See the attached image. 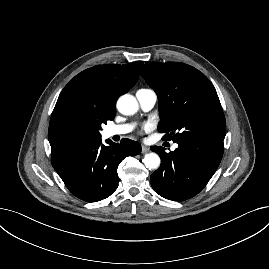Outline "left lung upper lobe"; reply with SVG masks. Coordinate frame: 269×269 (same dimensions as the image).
<instances>
[{"label":"left lung upper lobe","instance_id":"left-lung-upper-lobe-1","mask_svg":"<svg viewBox=\"0 0 269 269\" xmlns=\"http://www.w3.org/2000/svg\"><path fill=\"white\" fill-rule=\"evenodd\" d=\"M141 76L156 92L164 138L224 140L226 122L210 80L196 68L178 62H147Z\"/></svg>","mask_w":269,"mask_h":269}]
</instances>
